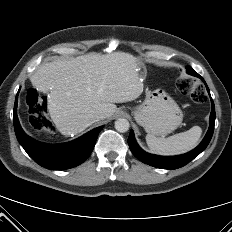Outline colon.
I'll list each match as a JSON object with an SVG mask.
<instances>
[{
	"label": "colon",
	"mask_w": 232,
	"mask_h": 232,
	"mask_svg": "<svg viewBox=\"0 0 232 232\" xmlns=\"http://www.w3.org/2000/svg\"><path fill=\"white\" fill-rule=\"evenodd\" d=\"M178 89L196 102L203 103L206 94L203 86L190 77L181 76L177 81ZM26 104L29 111V122L36 131L50 132L46 116L47 102L36 89L30 88L26 93Z\"/></svg>",
	"instance_id": "5ec220e1"
}]
</instances>
